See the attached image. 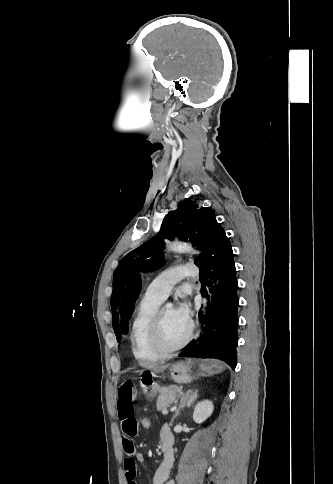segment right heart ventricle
Listing matches in <instances>:
<instances>
[{"label": "right heart ventricle", "instance_id": "1", "mask_svg": "<svg viewBox=\"0 0 333 484\" xmlns=\"http://www.w3.org/2000/svg\"><path fill=\"white\" fill-rule=\"evenodd\" d=\"M161 300L145 294L136 309L130 329V343L134 357L143 366L152 365L162 359L150 343V328Z\"/></svg>", "mask_w": 333, "mask_h": 484}]
</instances>
